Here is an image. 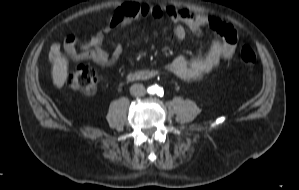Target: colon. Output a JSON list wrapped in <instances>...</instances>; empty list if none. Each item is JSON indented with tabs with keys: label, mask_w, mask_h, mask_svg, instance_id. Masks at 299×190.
Listing matches in <instances>:
<instances>
[{
	"label": "colon",
	"mask_w": 299,
	"mask_h": 190,
	"mask_svg": "<svg viewBox=\"0 0 299 190\" xmlns=\"http://www.w3.org/2000/svg\"><path fill=\"white\" fill-rule=\"evenodd\" d=\"M243 63L251 65L256 60V54L250 46H243L240 50ZM67 83L73 89L85 95H93L97 88V75L93 68L80 64L67 74Z\"/></svg>",
	"instance_id": "1"
}]
</instances>
